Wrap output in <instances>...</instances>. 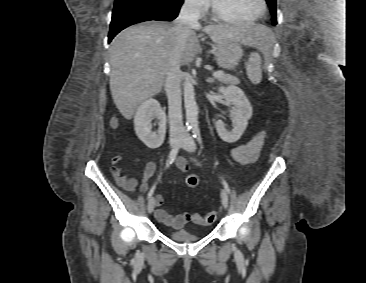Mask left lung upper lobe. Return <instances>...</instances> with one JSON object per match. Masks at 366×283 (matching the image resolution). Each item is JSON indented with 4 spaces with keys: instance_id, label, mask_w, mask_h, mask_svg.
<instances>
[{
    "instance_id": "5c2ea615",
    "label": "left lung upper lobe",
    "mask_w": 366,
    "mask_h": 283,
    "mask_svg": "<svg viewBox=\"0 0 366 283\" xmlns=\"http://www.w3.org/2000/svg\"><path fill=\"white\" fill-rule=\"evenodd\" d=\"M268 6L270 7V11L272 14V23L275 25L277 23L276 21V0H266Z\"/></svg>"
}]
</instances>
